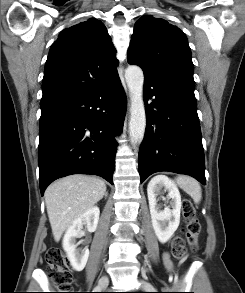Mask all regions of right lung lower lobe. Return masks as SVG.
Here are the masks:
<instances>
[{
	"mask_svg": "<svg viewBox=\"0 0 245 293\" xmlns=\"http://www.w3.org/2000/svg\"><path fill=\"white\" fill-rule=\"evenodd\" d=\"M126 98L118 75L64 102L40 118V190L71 174L98 175L113 184Z\"/></svg>",
	"mask_w": 245,
	"mask_h": 293,
	"instance_id": "right-lung-lower-lobe-1",
	"label": "right lung lower lobe"
}]
</instances>
